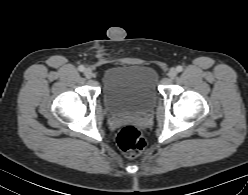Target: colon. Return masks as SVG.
I'll return each instance as SVG.
<instances>
[{
    "instance_id": "1",
    "label": "colon",
    "mask_w": 248,
    "mask_h": 195,
    "mask_svg": "<svg viewBox=\"0 0 248 195\" xmlns=\"http://www.w3.org/2000/svg\"><path fill=\"white\" fill-rule=\"evenodd\" d=\"M117 144L128 157L139 155L146 146L141 131L134 125H126L120 129Z\"/></svg>"
}]
</instances>
